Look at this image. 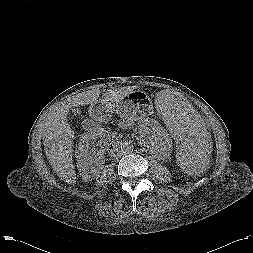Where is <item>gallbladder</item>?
I'll return each mask as SVG.
<instances>
[{
  "instance_id": "bac80fb5",
  "label": "gallbladder",
  "mask_w": 253,
  "mask_h": 253,
  "mask_svg": "<svg viewBox=\"0 0 253 253\" xmlns=\"http://www.w3.org/2000/svg\"><path fill=\"white\" fill-rule=\"evenodd\" d=\"M87 120H84L82 123H85Z\"/></svg>"
}]
</instances>
